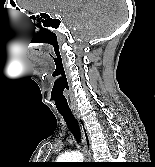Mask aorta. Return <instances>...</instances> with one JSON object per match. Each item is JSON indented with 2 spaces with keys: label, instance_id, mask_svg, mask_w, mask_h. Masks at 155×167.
Segmentation results:
<instances>
[{
  "label": "aorta",
  "instance_id": "1",
  "mask_svg": "<svg viewBox=\"0 0 155 167\" xmlns=\"http://www.w3.org/2000/svg\"><path fill=\"white\" fill-rule=\"evenodd\" d=\"M59 162H82L83 155L80 152L62 154L57 159Z\"/></svg>",
  "mask_w": 155,
  "mask_h": 167
}]
</instances>
